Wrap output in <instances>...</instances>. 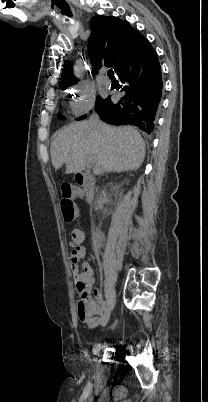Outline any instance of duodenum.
<instances>
[{
  "instance_id": "410a0bca",
  "label": "duodenum",
  "mask_w": 208,
  "mask_h": 402,
  "mask_svg": "<svg viewBox=\"0 0 208 402\" xmlns=\"http://www.w3.org/2000/svg\"><path fill=\"white\" fill-rule=\"evenodd\" d=\"M76 181L78 185L84 188L86 200L88 202L92 201L94 197V186H95L94 178L86 172H79L76 175Z\"/></svg>"
}]
</instances>
